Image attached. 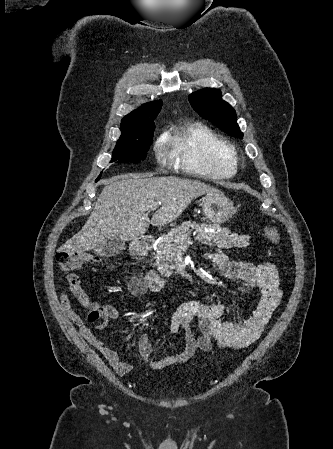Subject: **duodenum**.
<instances>
[{
	"label": "duodenum",
	"mask_w": 333,
	"mask_h": 449,
	"mask_svg": "<svg viewBox=\"0 0 333 449\" xmlns=\"http://www.w3.org/2000/svg\"><path fill=\"white\" fill-rule=\"evenodd\" d=\"M154 237L146 236L133 242L131 246V254L135 257L145 255L154 245ZM148 287L155 292L164 290L166 281L157 272L151 270L147 274Z\"/></svg>",
	"instance_id": "1"
}]
</instances>
